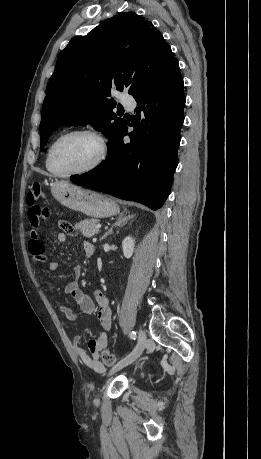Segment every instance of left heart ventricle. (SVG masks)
Here are the masks:
<instances>
[{"label":"left heart ventricle","mask_w":261,"mask_h":459,"mask_svg":"<svg viewBox=\"0 0 261 459\" xmlns=\"http://www.w3.org/2000/svg\"><path fill=\"white\" fill-rule=\"evenodd\" d=\"M98 153L96 142L85 135L62 139L55 146L50 165L54 172L69 173L89 165Z\"/></svg>","instance_id":"left-heart-ventricle-1"}]
</instances>
